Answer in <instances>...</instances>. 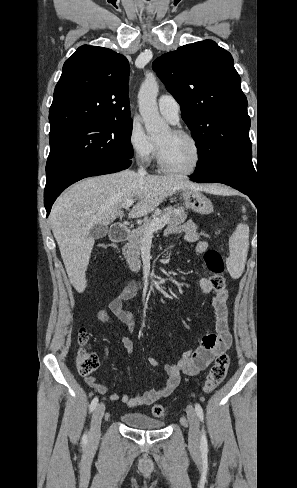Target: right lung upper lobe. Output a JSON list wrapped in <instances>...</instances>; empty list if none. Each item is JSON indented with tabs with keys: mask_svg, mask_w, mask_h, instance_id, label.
I'll return each instance as SVG.
<instances>
[{
	"mask_svg": "<svg viewBox=\"0 0 297 488\" xmlns=\"http://www.w3.org/2000/svg\"><path fill=\"white\" fill-rule=\"evenodd\" d=\"M125 56L83 45L64 63L49 110L50 134L72 126L130 118Z\"/></svg>",
	"mask_w": 297,
	"mask_h": 488,
	"instance_id": "cb5924a9",
	"label": "right lung upper lobe"
}]
</instances>
